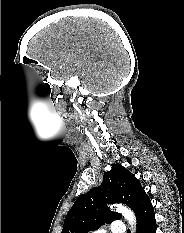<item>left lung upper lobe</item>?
Returning a JSON list of instances; mask_svg holds the SVG:
<instances>
[{
    "label": "left lung upper lobe",
    "mask_w": 184,
    "mask_h": 233,
    "mask_svg": "<svg viewBox=\"0 0 184 233\" xmlns=\"http://www.w3.org/2000/svg\"><path fill=\"white\" fill-rule=\"evenodd\" d=\"M134 175L119 164H113L103 176L99 187L79 196L68 211L61 233H88L103 224L121 219V215L108 209L107 204L121 202L132 210L145 195Z\"/></svg>",
    "instance_id": "1"
}]
</instances>
